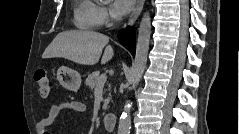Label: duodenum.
Wrapping results in <instances>:
<instances>
[{"mask_svg": "<svg viewBox=\"0 0 239 134\" xmlns=\"http://www.w3.org/2000/svg\"><path fill=\"white\" fill-rule=\"evenodd\" d=\"M117 117L114 113H107L103 117V125L108 131H112L116 125Z\"/></svg>", "mask_w": 239, "mask_h": 134, "instance_id": "410a0bca", "label": "duodenum"}]
</instances>
